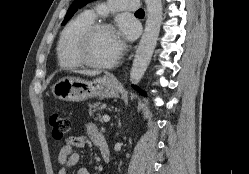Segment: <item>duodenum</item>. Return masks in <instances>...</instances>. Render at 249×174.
I'll list each match as a JSON object with an SVG mask.
<instances>
[{"label": "duodenum", "instance_id": "1", "mask_svg": "<svg viewBox=\"0 0 249 174\" xmlns=\"http://www.w3.org/2000/svg\"><path fill=\"white\" fill-rule=\"evenodd\" d=\"M100 151H101L103 160L106 163H109L110 162V151H109L108 145L100 144Z\"/></svg>", "mask_w": 249, "mask_h": 174}]
</instances>
